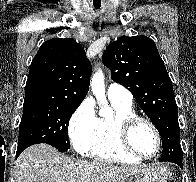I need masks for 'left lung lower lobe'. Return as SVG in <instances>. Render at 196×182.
I'll return each mask as SVG.
<instances>
[{
  "label": "left lung lower lobe",
  "instance_id": "1",
  "mask_svg": "<svg viewBox=\"0 0 196 182\" xmlns=\"http://www.w3.org/2000/svg\"><path fill=\"white\" fill-rule=\"evenodd\" d=\"M160 161L174 162L182 167V157L175 149L163 147L162 158L160 159Z\"/></svg>",
  "mask_w": 196,
  "mask_h": 182
}]
</instances>
